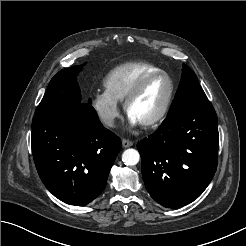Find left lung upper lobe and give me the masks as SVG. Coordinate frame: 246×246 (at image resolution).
<instances>
[{
    "mask_svg": "<svg viewBox=\"0 0 246 246\" xmlns=\"http://www.w3.org/2000/svg\"><path fill=\"white\" fill-rule=\"evenodd\" d=\"M208 98L201 88L195 73L185 64L173 105L167 116L187 106L207 101Z\"/></svg>",
    "mask_w": 246,
    "mask_h": 246,
    "instance_id": "5c2ea615",
    "label": "left lung upper lobe"
}]
</instances>
